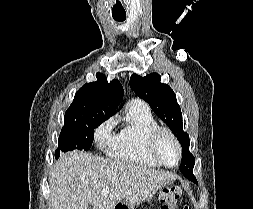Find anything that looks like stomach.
Returning <instances> with one entry per match:
<instances>
[{
  "mask_svg": "<svg viewBox=\"0 0 253 209\" xmlns=\"http://www.w3.org/2000/svg\"><path fill=\"white\" fill-rule=\"evenodd\" d=\"M170 188L168 187H161V194H160V198L161 200H163L166 204H169V200H168V191ZM123 198L122 199H117V203L115 204L113 209H133V206H131V202H127L128 201V191H123Z\"/></svg>",
  "mask_w": 253,
  "mask_h": 209,
  "instance_id": "1",
  "label": "stomach"
}]
</instances>
